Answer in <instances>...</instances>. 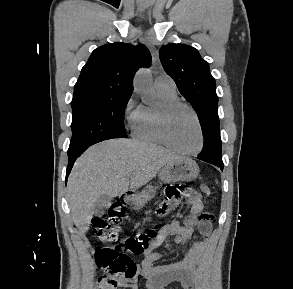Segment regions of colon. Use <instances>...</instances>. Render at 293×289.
<instances>
[{"label": "colon", "instance_id": "5ec220e1", "mask_svg": "<svg viewBox=\"0 0 293 289\" xmlns=\"http://www.w3.org/2000/svg\"><path fill=\"white\" fill-rule=\"evenodd\" d=\"M200 189L205 195L211 194V189L206 184H202ZM187 191L188 187L184 184L168 185L165 190L166 201L158 208V214H169ZM123 215L124 209L119 204H113L106 216L95 217L92 228L97 238L107 243L117 242ZM157 237V228H150L125 238L118 249L106 247L99 250L95 259L98 267L104 272L99 280V289H112L120 278L132 277L137 268L131 255L148 251L155 244Z\"/></svg>", "mask_w": 293, "mask_h": 289}]
</instances>
